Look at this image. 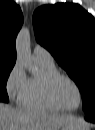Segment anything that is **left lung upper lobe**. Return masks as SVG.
<instances>
[{"instance_id":"1","label":"left lung upper lobe","mask_w":95,"mask_h":130,"mask_svg":"<svg viewBox=\"0 0 95 130\" xmlns=\"http://www.w3.org/2000/svg\"><path fill=\"white\" fill-rule=\"evenodd\" d=\"M38 43L75 81L85 113L95 111V20L80 5L58 3L33 14Z\"/></svg>"}]
</instances>
